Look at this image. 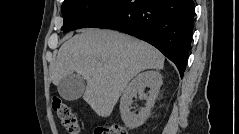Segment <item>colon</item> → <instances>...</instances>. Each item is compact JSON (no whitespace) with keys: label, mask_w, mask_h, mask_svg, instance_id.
<instances>
[{"label":"colon","mask_w":239,"mask_h":134,"mask_svg":"<svg viewBox=\"0 0 239 134\" xmlns=\"http://www.w3.org/2000/svg\"><path fill=\"white\" fill-rule=\"evenodd\" d=\"M53 110L62 120L69 134L79 133V124L77 116L73 113L71 107L57 96L52 100ZM94 134H127L124 127L118 124L100 125L96 127Z\"/></svg>","instance_id":"obj_1"}]
</instances>
